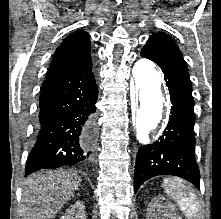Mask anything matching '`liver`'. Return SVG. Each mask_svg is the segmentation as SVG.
<instances>
[{
	"label": "liver",
	"mask_w": 221,
	"mask_h": 219,
	"mask_svg": "<svg viewBox=\"0 0 221 219\" xmlns=\"http://www.w3.org/2000/svg\"><path fill=\"white\" fill-rule=\"evenodd\" d=\"M81 178L67 171L33 174L23 184L19 208L21 219H53L78 189Z\"/></svg>",
	"instance_id": "liver-1"
}]
</instances>
